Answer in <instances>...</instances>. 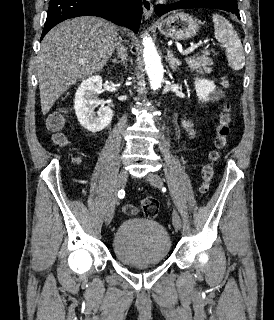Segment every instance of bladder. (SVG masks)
Returning <instances> with one entry per match:
<instances>
[{
  "label": "bladder",
  "mask_w": 274,
  "mask_h": 320,
  "mask_svg": "<svg viewBox=\"0 0 274 320\" xmlns=\"http://www.w3.org/2000/svg\"><path fill=\"white\" fill-rule=\"evenodd\" d=\"M171 250V239L166 229L149 218L123 221L112 239L116 259L128 266H145L164 262Z\"/></svg>",
  "instance_id": "1"
}]
</instances>
